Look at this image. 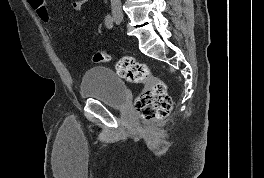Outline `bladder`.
Here are the masks:
<instances>
[{
    "instance_id": "1",
    "label": "bladder",
    "mask_w": 264,
    "mask_h": 178,
    "mask_svg": "<svg viewBox=\"0 0 264 178\" xmlns=\"http://www.w3.org/2000/svg\"><path fill=\"white\" fill-rule=\"evenodd\" d=\"M80 94L95 99L109 108H122L128 100L127 88L118 74L108 67H92L82 76Z\"/></svg>"
}]
</instances>
